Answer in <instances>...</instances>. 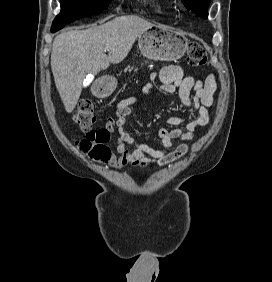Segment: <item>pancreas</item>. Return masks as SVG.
Segmentation results:
<instances>
[{"label": "pancreas", "instance_id": "1", "mask_svg": "<svg viewBox=\"0 0 272 282\" xmlns=\"http://www.w3.org/2000/svg\"><path fill=\"white\" fill-rule=\"evenodd\" d=\"M133 69H134V67L128 66V67L125 68V72H127V71L131 72Z\"/></svg>", "mask_w": 272, "mask_h": 282}]
</instances>
